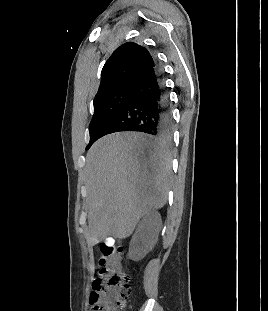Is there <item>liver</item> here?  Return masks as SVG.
Returning a JSON list of instances; mask_svg holds the SVG:
<instances>
[{
	"label": "liver",
	"mask_w": 268,
	"mask_h": 311,
	"mask_svg": "<svg viewBox=\"0 0 268 311\" xmlns=\"http://www.w3.org/2000/svg\"><path fill=\"white\" fill-rule=\"evenodd\" d=\"M171 158L140 133L109 134L97 140L84 168L87 242L129 237L140 218L166 201Z\"/></svg>",
	"instance_id": "6515ba94"
}]
</instances>
